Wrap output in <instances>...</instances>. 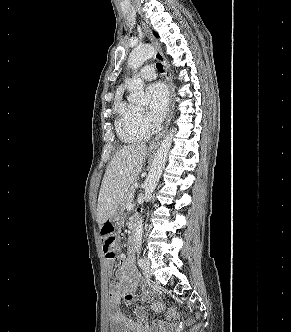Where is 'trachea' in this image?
Here are the masks:
<instances>
[{"label": "trachea", "mask_w": 291, "mask_h": 332, "mask_svg": "<svg viewBox=\"0 0 291 332\" xmlns=\"http://www.w3.org/2000/svg\"><path fill=\"white\" fill-rule=\"evenodd\" d=\"M156 67H157V69L160 71V72H163L164 70H163V65L161 64V63H157L156 64Z\"/></svg>", "instance_id": "trachea-1"}]
</instances>
